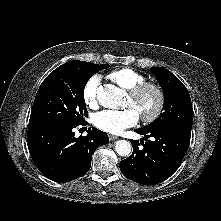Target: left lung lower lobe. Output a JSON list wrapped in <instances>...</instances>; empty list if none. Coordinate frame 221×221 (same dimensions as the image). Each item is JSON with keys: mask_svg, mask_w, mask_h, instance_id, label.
I'll use <instances>...</instances> for the list:
<instances>
[{"mask_svg": "<svg viewBox=\"0 0 221 221\" xmlns=\"http://www.w3.org/2000/svg\"><path fill=\"white\" fill-rule=\"evenodd\" d=\"M132 140L133 153L120 162V170L128 179L145 185L159 183L171 176L181 164L190 143L191 133L177 129L144 130ZM152 137L151 140L148 138ZM145 141V142H144Z\"/></svg>", "mask_w": 221, "mask_h": 221, "instance_id": "1", "label": "left lung lower lobe"}]
</instances>
